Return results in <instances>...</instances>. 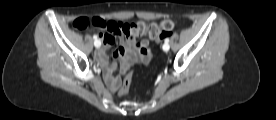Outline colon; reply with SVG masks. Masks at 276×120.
I'll list each match as a JSON object with an SVG mask.
<instances>
[{"mask_svg": "<svg viewBox=\"0 0 276 120\" xmlns=\"http://www.w3.org/2000/svg\"><path fill=\"white\" fill-rule=\"evenodd\" d=\"M108 22L99 17H81L72 22V27L76 30H86L89 28L104 29ZM175 21L165 19L161 23L146 24L144 22H133L124 24L122 33L129 39L149 37L155 41H160L167 37L175 28ZM131 83V75L127 74L121 81H117L115 88L119 96L127 94Z\"/></svg>", "mask_w": 276, "mask_h": 120, "instance_id": "colon-1", "label": "colon"}]
</instances>
